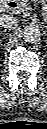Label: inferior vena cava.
Masks as SVG:
<instances>
[{
	"mask_svg": "<svg viewBox=\"0 0 47 129\" xmlns=\"http://www.w3.org/2000/svg\"><path fill=\"white\" fill-rule=\"evenodd\" d=\"M0 26L1 28L7 29V30H14L18 26V20L16 17L4 15L0 19Z\"/></svg>",
	"mask_w": 47,
	"mask_h": 129,
	"instance_id": "1",
	"label": "inferior vena cava"
}]
</instances>
